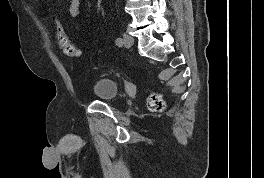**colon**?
<instances>
[{"label": "colon", "mask_w": 264, "mask_h": 178, "mask_svg": "<svg viewBox=\"0 0 264 178\" xmlns=\"http://www.w3.org/2000/svg\"><path fill=\"white\" fill-rule=\"evenodd\" d=\"M51 23L55 31V36L58 42V45L62 52L72 58H79L82 54L81 50L72 44L68 36L65 33L64 28L62 27L60 21L51 17ZM164 101L159 94H151L148 99V107L152 110L158 111L164 108Z\"/></svg>", "instance_id": "1"}]
</instances>
